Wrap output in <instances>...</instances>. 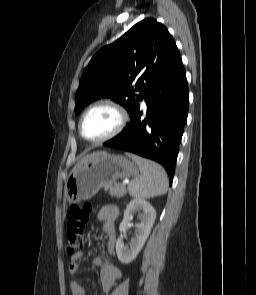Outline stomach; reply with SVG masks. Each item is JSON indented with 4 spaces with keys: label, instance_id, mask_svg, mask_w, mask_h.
<instances>
[{
    "label": "stomach",
    "instance_id": "0dacf381",
    "mask_svg": "<svg viewBox=\"0 0 256 295\" xmlns=\"http://www.w3.org/2000/svg\"><path fill=\"white\" fill-rule=\"evenodd\" d=\"M137 173V166L126 157L101 152L72 171L66 183V200L70 204L88 200L102 187Z\"/></svg>",
    "mask_w": 256,
    "mask_h": 295
}]
</instances>
